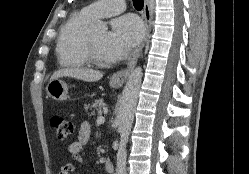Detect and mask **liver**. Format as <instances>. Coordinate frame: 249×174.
<instances>
[{
	"label": "liver",
	"mask_w": 249,
	"mask_h": 174,
	"mask_svg": "<svg viewBox=\"0 0 249 174\" xmlns=\"http://www.w3.org/2000/svg\"><path fill=\"white\" fill-rule=\"evenodd\" d=\"M102 73L100 71H95L93 69L87 68H66L56 71L51 80L62 78V77H71L86 82H95L102 78Z\"/></svg>",
	"instance_id": "liver-1"
}]
</instances>
